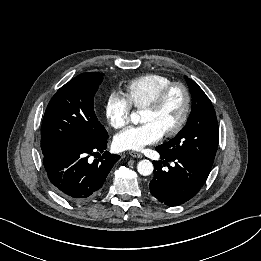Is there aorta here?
Segmentation results:
<instances>
[{
    "mask_svg": "<svg viewBox=\"0 0 261 261\" xmlns=\"http://www.w3.org/2000/svg\"><path fill=\"white\" fill-rule=\"evenodd\" d=\"M131 121L133 123H138L139 115L137 113L133 112L131 114ZM137 170H138L139 174H141L143 176L151 175L153 172V164L149 160H141L137 164Z\"/></svg>",
    "mask_w": 261,
    "mask_h": 261,
    "instance_id": "aorta-1",
    "label": "aorta"
}]
</instances>
